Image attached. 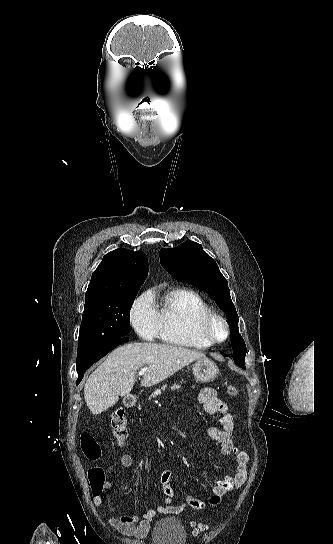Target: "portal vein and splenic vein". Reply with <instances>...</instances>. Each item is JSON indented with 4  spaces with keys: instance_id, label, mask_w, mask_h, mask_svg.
<instances>
[{
    "instance_id": "portal-vein-and-splenic-vein-1",
    "label": "portal vein and splenic vein",
    "mask_w": 333,
    "mask_h": 544,
    "mask_svg": "<svg viewBox=\"0 0 333 544\" xmlns=\"http://www.w3.org/2000/svg\"><path fill=\"white\" fill-rule=\"evenodd\" d=\"M146 370H147L146 368H142V369L139 371V375H140V376L144 375L145 372H146Z\"/></svg>"
}]
</instances>
